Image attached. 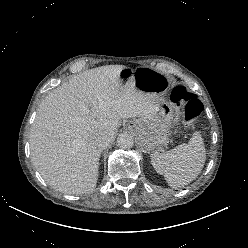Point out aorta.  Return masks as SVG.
I'll list each match as a JSON object with an SVG mask.
<instances>
[{
  "mask_svg": "<svg viewBox=\"0 0 248 248\" xmlns=\"http://www.w3.org/2000/svg\"><path fill=\"white\" fill-rule=\"evenodd\" d=\"M117 144L122 149H130L134 145V138L128 133H121L117 137Z\"/></svg>",
  "mask_w": 248,
  "mask_h": 248,
  "instance_id": "aorta-1",
  "label": "aorta"
}]
</instances>
